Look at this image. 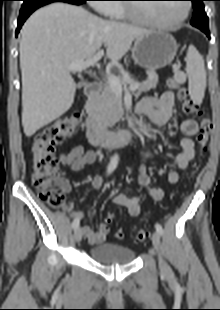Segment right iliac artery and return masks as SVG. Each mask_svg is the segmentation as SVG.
<instances>
[{"mask_svg":"<svg viewBox=\"0 0 220 310\" xmlns=\"http://www.w3.org/2000/svg\"><path fill=\"white\" fill-rule=\"evenodd\" d=\"M117 164H118V155L116 154L112 157L108 165L107 174H110L116 168ZM79 224H80V219L79 218L74 219L72 223L73 229L76 230L79 227Z\"/></svg>","mask_w":220,"mask_h":310,"instance_id":"obj_1","label":"right iliac artery"}]
</instances>
